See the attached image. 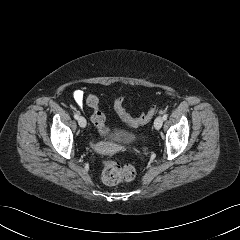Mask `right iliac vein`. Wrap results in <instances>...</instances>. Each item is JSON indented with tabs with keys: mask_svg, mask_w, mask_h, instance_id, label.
<instances>
[{
	"mask_svg": "<svg viewBox=\"0 0 240 240\" xmlns=\"http://www.w3.org/2000/svg\"><path fill=\"white\" fill-rule=\"evenodd\" d=\"M78 124L80 127L85 128L86 127V119L82 116L78 118Z\"/></svg>",
	"mask_w": 240,
	"mask_h": 240,
	"instance_id": "1",
	"label": "right iliac vein"
}]
</instances>
